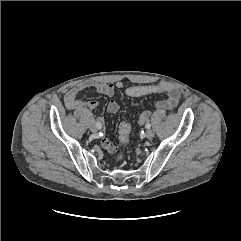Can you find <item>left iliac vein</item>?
I'll list each match as a JSON object with an SVG mask.
<instances>
[{"mask_svg": "<svg viewBox=\"0 0 241 241\" xmlns=\"http://www.w3.org/2000/svg\"><path fill=\"white\" fill-rule=\"evenodd\" d=\"M153 137H154V131L151 130V129H148V130L146 131V138H147V139H152Z\"/></svg>", "mask_w": 241, "mask_h": 241, "instance_id": "obj_1", "label": "left iliac vein"}]
</instances>
